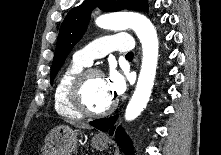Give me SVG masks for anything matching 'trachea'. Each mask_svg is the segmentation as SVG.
Returning a JSON list of instances; mask_svg holds the SVG:
<instances>
[{
  "label": "trachea",
  "mask_w": 221,
  "mask_h": 155,
  "mask_svg": "<svg viewBox=\"0 0 221 155\" xmlns=\"http://www.w3.org/2000/svg\"><path fill=\"white\" fill-rule=\"evenodd\" d=\"M126 57H127V58H133V52L127 53Z\"/></svg>",
  "instance_id": "1"
}]
</instances>
